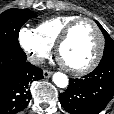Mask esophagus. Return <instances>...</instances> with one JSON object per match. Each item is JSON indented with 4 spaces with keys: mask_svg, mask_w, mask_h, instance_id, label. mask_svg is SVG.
Returning <instances> with one entry per match:
<instances>
[{
    "mask_svg": "<svg viewBox=\"0 0 114 114\" xmlns=\"http://www.w3.org/2000/svg\"><path fill=\"white\" fill-rule=\"evenodd\" d=\"M51 75H52V71H49V70H44L43 71V76L45 78H49V77H51Z\"/></svg>",
    "mask_w": 114,
    "mask_h": 114,
    "instance_id": "1",
    "label": "esophagus"
}]
</instances>
